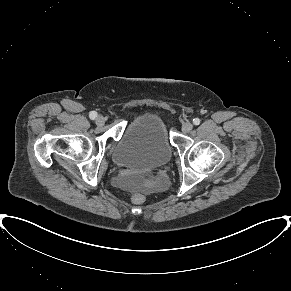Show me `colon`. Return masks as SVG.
Wrapping results in <instances>:
<instances>
[{
	"label": "colon",
	"mask_w": 291,
	"mask_h": 291,
	"mask_svg": "<svg viewBox=\"0 0 291 291\" xmlns=\"http://www.w3.org/2000/svg\"><path fill=\"white\" fill-rule=\"evenodd\" d=\"M131 200L134 204H141L142 202H144L145 197L141 193H135L133 194Z\"/></svg>",
	"instance_id": "obj_1"
}]
</instances>
